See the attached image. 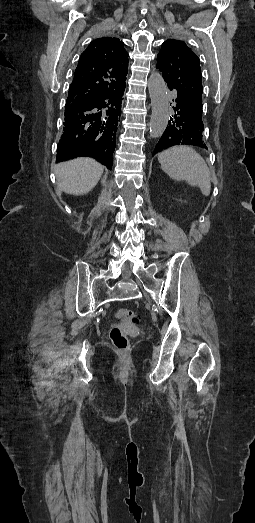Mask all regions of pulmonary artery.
I'll use <instances>...</instances> for the list:
<instances>
[{
	"mask_svg": "<svg viewBox=\"0 0 255 523\" xmlns=\"http://www.w3.org/2000/svg\"><path fill=\"white\" fill-rule=\"evenodd\" d=\"M172 98H175V95H172Z\"/></svg>",
	"mask_w": 255,
	"mask_h": 523,
	"instance_id": "obj_1",
	"label": "pulmonary artery"
}]
</instances>
